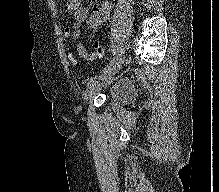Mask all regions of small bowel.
I'll return each mask as SVG.
<instances>
[{"label":"small bowel","instance_id":"obj_1","mask_svg":"<svg viewBox=\"0 0 219 192\" xmlns=\"http://www.w3.org/2000/svg\"><path fill=\"white\" fill-rule=\"evenodd\" d=\"M86 0H66L65 11L73 14V38L78 41L76 49L80 56L86 58H95V54H88L85 46L81 43L83 38V28L88 27L91 36L98 33L101 24L107 19L111 4L107 0L94 3L93 12L90 14L89 9L85 6Z\"/></svg>","mask_w":219,"mask_h":192}]
</instances>
